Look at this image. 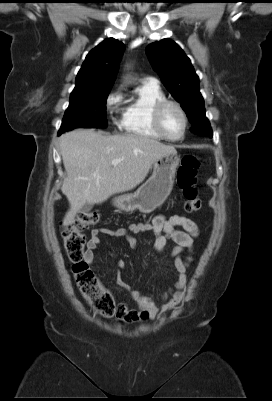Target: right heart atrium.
I'll return each instance as SVG.
<instances>
[{"label": "right heart atrium", "instance_id": "1", "mask_svg": "<svg viewBox=\"0 0 272 401\" xmlns=\"http://www.w3.org/2000/svg\"><path fill=\"white\" fill-rule=\"evenodd\" d=\"M123 94L120 89L110 92L105 100V108L110 119L117 123V116L119 113V106L122 102Z\"/></svg>", "mask_w": 272, "mask_h": 401}]
</instances>
